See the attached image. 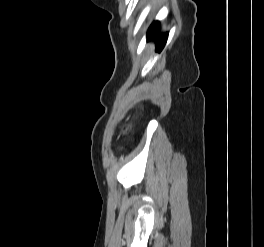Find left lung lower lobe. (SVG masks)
<instances>
[{
    "mask_svg": "<svg viewBox=\"0 0 264 247\" xmlns=\"http://www.w3.org/2000/svg\"><path fill=\"white\" fill-rule=\"evenodd\" d=\"M158 26H159L158 22H154L150 26L148 33H147V40H150L151 38H156L157 39L156 47L159 51H161L163 47L165 46L168 33L163 34V35H158Z\"/></svg>",
    "mask_w": 264,
    "mask_h": 247,
    "instance_id": "left-lung-lower-lobe-1",
    "label": "left lung lower lobe"
}]
</instances>
